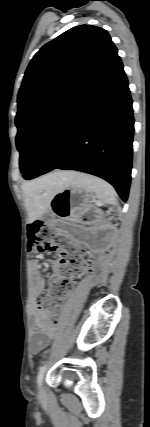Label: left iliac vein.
Here are the masks:
<instances>
[{"label":"left iliac vein","instance_id":"1","mask_svg":"<svg viewBox=\"0 0 150 427\" xmlns=\"http://www.w3.org/2000/svg\"><path fill=\"white\" fill-rule=\"evenodd\" d=\"M38 393H39V396H42V395H43V388H42L41 384H40V386H39V391H38Z\"/></svg>","mask_w":150,"mask_h":427}]
</instances>
